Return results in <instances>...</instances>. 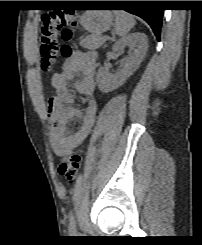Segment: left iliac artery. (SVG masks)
Masks as SVG:
<instances>
[{"label":"left iliac artery","mask_w":202,"mask_h":245,"mask_svg":"<svg viewBox=\"0 0 202 245\" xmlns=\"http://www.w3.org/2000/svg\"><path fill=\"white\" fill-rule=\"evenodd\" d=\"M69 231L71 233L76 232V223H75V218L72 212L70 213V216H69Z\"/></svg>","instance_id":"left-iliac-artery-1"}]
</instances>
